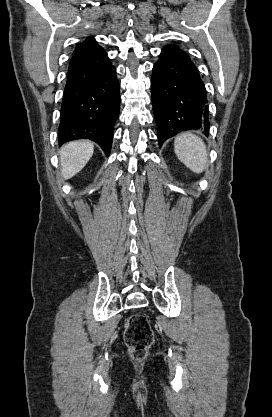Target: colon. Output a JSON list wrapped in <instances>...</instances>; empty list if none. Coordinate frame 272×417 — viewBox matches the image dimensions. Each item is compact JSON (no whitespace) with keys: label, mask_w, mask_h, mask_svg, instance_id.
Returning <instances> with one entry per match:
<instances>
[{"label":"colon","mask_w":272,"mask_h":417,"mask_svg":"<svg viewBox=\"0 0 272 417\" xmlns=\"http://www.w3.org/2000/svg\"><path fill=\"white\" fill-rule=\"evenodd\" d=\"M153 337L150 323L144 315L133 314L127 319L124 338L133 359L142 360L146 357Z\"/></svg>","instance_id":"5ec220e1"}]
</instances>
